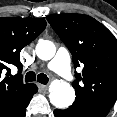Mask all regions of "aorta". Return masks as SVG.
Masks as SVG:
<instances>
[{
    "mask_svg": "<svg viewBox=\"0 0 117 117\" xmlns=\"http://www.w3.org/2000/svg\"><path fill=\"white\" fill-rule=\"evenodd\" d=\"M56 53L53 42L42 40L36 45V54L41 60H50ZM49 98L52 105L59 109H65L72 105L75 99V91L64 80H54L49 86Z\"/></svg>",
    "mask_w": 117,
    "mask_h": 117,
    "instance_id": "1",
    "label": "aorta"
}]
</instances>
